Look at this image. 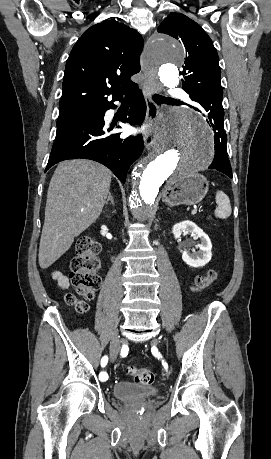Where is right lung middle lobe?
Instances as JSON below:
<instances>
[{"mask_svg": "<svg viewBox=\"0 0 271 459\" xmlns=\"http://www.w3.org/2000/svg\"><path fill=\"white\" fill-rule=\"evenodd\" d=\"M105 106L88 105L75 110L61 111L57 119V126L85 118L101 117Z\"/></svg>", "mask_w": 271, "mask_h": 459, "instance_id": "dd1d6c3e", "label": "right lung middle lobe"}]
</instances>
